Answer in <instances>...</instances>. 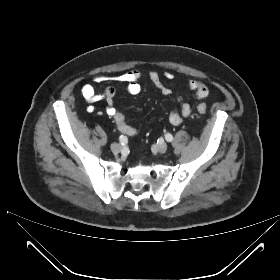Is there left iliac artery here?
<instances>
[{
    "mask_svg": "<svg viewBox=\"0 0 280 280\" xmlns=\"http://www.w3.org/2000/svg\"><path fill=\"white\" fill-rule=\"evenodd\" d=\"M165 139H166L167 142H171L173 140V136L168 133V134L165 135Z\"/></svg>",
    "mask_w": 280,
    "mask_h": 280,
    "instance_id": "1",
    "label": "left iliac artery"
}]
</instances>
